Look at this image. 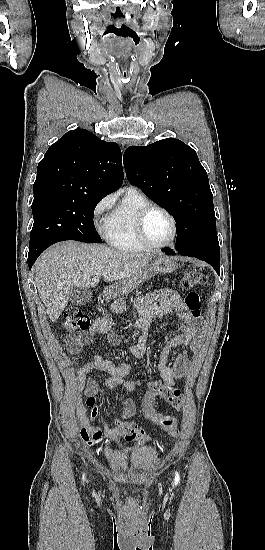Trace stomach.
I'll list each match as a JSON object with an SVG mask.
<instances>
[{"mask_svg": "<svg viewBox=\"0 0 265 550\" xmlns=\"http://www.w3.org/2000/svg\"><path fill=\"white\" fill-rule=\"evenodd\" d=\"M177 264L173 258L165 255H153L148 264L130 282L126 291L131 290L152 274H168L175 271Z\"/></svg>", "mask_w": 265, "mask_h": 550, "instance_id": "1", "label": "stomach"}]
</instances>
